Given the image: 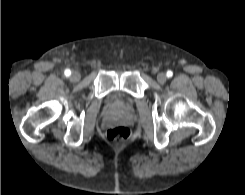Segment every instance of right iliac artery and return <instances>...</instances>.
Masks as SVG:
<instances>
[{"label":"right iliac artery","instance_id":"82829eb1","mask_svg":"<svg viewBox=\"0 0 245 195\" xmlns=\"http://www.w3.org/2000/svg\"><path fill=\"white\" fill-rule=\"evenodd\" d=\"M65 76H70L71 75V71L69 69H66L64 72Z\"/></svg>","mask_w":245,"mask_h":195}]
</instances>
